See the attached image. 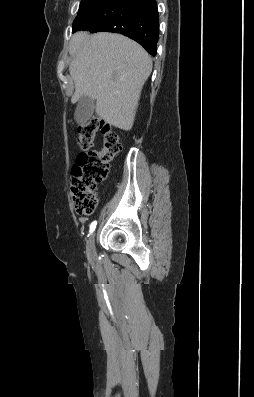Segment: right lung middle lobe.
<instances>
[{"instance_id":"dd1d6c3e","label":"right lung middle lobe","mask_w":254,"mask_h":397,"mask_svg":"<svg viewBox=\"0 0 254 397\" xmlns=\"http://www.w3.org/2000/svg\"><path fill=\"white\" fill-rule=\"evenodd\" d=\"M107 0H82L77 17L73 22V31L94 16Z\"/></svg>"}]
</instances>
